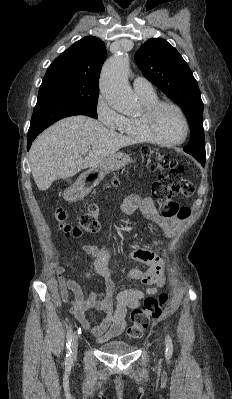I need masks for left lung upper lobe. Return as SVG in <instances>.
<instances>
[{
  "mask_svg": "<svg viewBox=\"0 0 232 399\" xmlns=\"http://www.w3.org/2000/svg\"><path fill=\"white\" fill-rule=\"evenodd\" d=\"M143 75L178 104L190 125L189 143L183 148L198 161L206 159L200 90L192 71L166 40L151 38L135 54Z\"/></svg>",
  "mask_w": 232,
  "mask_h": 399,
  "instance_id": "left-lung-upper-lobe-1",
  "label": "left lung upper lobe"
}]
</instances>
